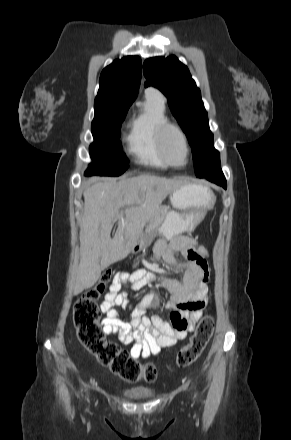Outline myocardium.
I'll return each instance as SVG.
<instances>
[{"instance_id":"f54148a6","label":"myocardium","mask_w":291,"mask_h":440,"mask_svg":"<svg viewBox=\"0 0 291 440\" xmlns=\"http://www.w3.org/2000/svg\"><path fill=\"white\" fill-rule=\"evenodd\" d=\"M171 131L176 132L180 136V138L183 142V145L185 148V153H186V159H185L184 163H182V164H176V163L172 162L170 160V158L168 157V154L166 151V137H167V134ZM156 135H157V143H158L159 153H160L162 159L165 161V163L168 166H172V167H176V168H182V167L186 166L189 161V157H190V146L188 143L187 135L183 131V129L174 123L165 122L159 126Z\"/></svg>"}]
</instances>
